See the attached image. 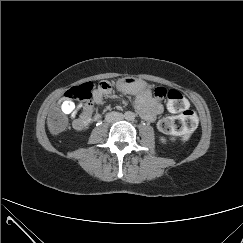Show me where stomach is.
Wrapping results in <instances>:
<instances>
[{
	"instance_id": "0dacf381",
	"label": "stomach",
	"mask_w": 243,
	"mask_h": 243,
	"mask_svg": "<svg viewBox=\"0 0 243 243\" xmlns=\"http://www.w3.org/2000/svg\"><path fill=\"white\" fill-rule=\"evenodd\" d=\"M118 88L125 93L136 94L145 88L142 81L134 77H124L117 83Z\"/></svg>"
}]
</instances>
